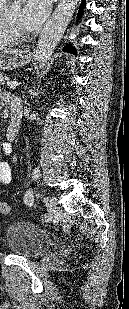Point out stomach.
I'll return each mask as SVG.
<instances>
[{"label": "stomach", "mask_w": 129, "mask_h": 309, "mask_svg": "<svg viewBox=\"0 0 129 309\" xmlns=\"http://www.w3.org/2000/svg\"><path fill=\"white\" fill-rule=\"evenodd\" d=\"M29 61L30 55L24 49L0 48V70L22 67Z\"/></svg>", "instance_id": "obj_1"}]
</instances>
